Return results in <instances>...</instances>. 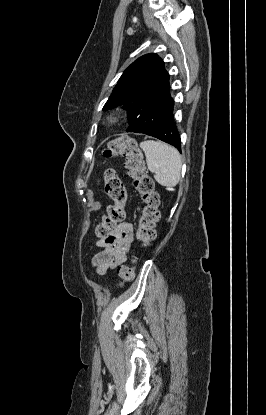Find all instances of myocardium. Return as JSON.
Listing matches in <instances>:
<instances>
[{
  "label": "myocardium",
  "instance_id": "myocardium-1",
  "mask_svg": "<svg viewBox=\"0 0 266 415\" xmlns=\"http://www.w3.org/2000/svg\"><path fill=\"white\" fill-rule=\"evenodd\" d=\"M107 119H108V121H109L110 123H115V122H117V121H118L119 116H118L117 114H115V113H112V114H110V115L107 117Z\"/></svg>",
  "mask_w": 266,
  "mask_h": 415
}]
</instances>
